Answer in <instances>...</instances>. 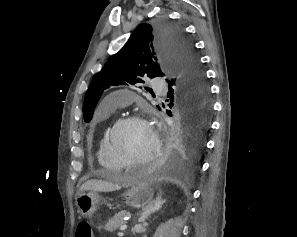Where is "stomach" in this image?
I'll return each mask as SVG.
<instances>
[{
	"mask_svg": "<svg viewBox=\"0 0 297 237\" xmlns=\"http://www.w3.org/2000/svg\"><path fill=\"white\" fill-rule=\"evenodd\" d=\"M154 190L146 181H139L125 192V203L134 208H143L152 202ZM101 196L94 191L83 192L76 199V205L82 217H91L96 210Z\"/></svg>",
	"mask_w": 297,
	"mask_h": 237,
	"instance_id": "0dacf381",
	"label": "stomach"
}]
</instances>
